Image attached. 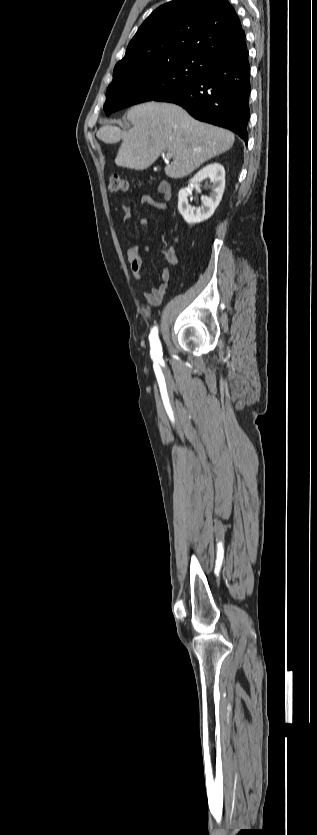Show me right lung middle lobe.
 Here are the masks:
<instances>
[{"mask_svg": "<svg viewBox=\"0 0 317 835\" xmlns=\"http://www.w3.org/2000/svg\"><path fill=\"white\" fill-rule=\"evenodd\" d=\"M199 68V59H190L113 75V81L106 92L105 113L110 115L124 107L155 100L174 88L195 80L199 75Z\"/></svg>", "mask_w": 317, "mask_h": 835, "instance_id": "1", "label": "right lung middle lobe"}]
</instances>
